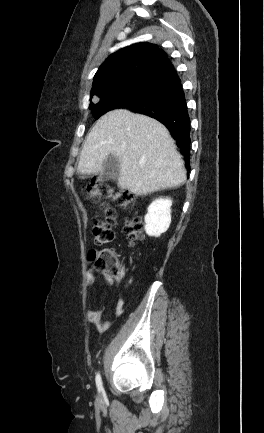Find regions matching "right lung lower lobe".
I'll list each match as a JSON object with an SVG mask.
<instances>
[{"label": "right lung lower lobe", "mask_w": 264, "mask_h": 433, "mask_svg": "<svg viewBox=\"0 0 264 433\" xmlns=\"http://www.w3.org/2000/svg\"><path fill=\"white\" fill-rule=\"evenodd\" d=\"M127 105L126 109L163 123L189 165L190 118L181 80L169 59L146 79Z\"/></svg>", "instance_id": "right-lung-lower-lobe-1"}]
</instances>
